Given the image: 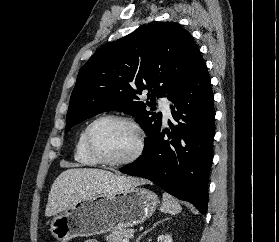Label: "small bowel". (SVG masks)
Returning a JSON list of instances; mask_svg holds the SVG:
<instances>
[{"label":"small bowel","mask_w":279,"mask_h":242,"mask_svg":"<svg viewBox=\"0 0 279 242\" xmlns=\"http://www.w3.org/2000/svg\"><path fill=\"white\" fill-rule=\"evenodd\" d=\"M85 242H98V241H96L94 239H90V240H86Z\"/></svg>","instance_id":"small-bowel-1"}]
</instances>
